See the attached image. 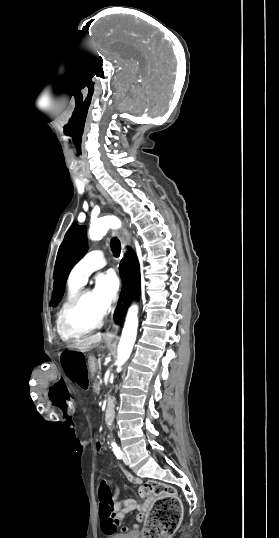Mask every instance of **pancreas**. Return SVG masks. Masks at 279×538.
Here are the masks:
<instances>
[{
  "instance_id": "obj_1",
  "label": "pancreas",
  "mask_w": 279,
  "mask_h": 538,
  "mask_svg": "<svg viewBox=\"0 0 279 538\" xmlns=\"http://www.w3.org/2000/svg\"><path fill=\"white\" fill-rule=\"evenodd\" d=\"M95 384L93 386L94 388V392H96V394H98L99 390H100V384H97V380H94Z\"/></svg>"
}]
</instances>
